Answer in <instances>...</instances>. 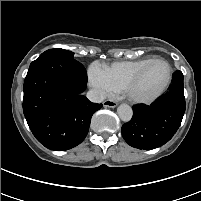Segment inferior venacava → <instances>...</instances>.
Segmentation results:
<instances>
[{"mask_svg":"<svg viewBox=\"0 0 201 201\" xmlns=\"http://www.w3.org/2000/svg\"><path fill=\"white\" fill-rule=\"evenodd\" d=\"M87 98L93 103H101L106 98L105 94L96 89H90L87 92Z\"/></svg>","mask_w":201,"mask_h":201,"instance_id":"obj_1","label":"inferior vena cava"}]
</instances>
